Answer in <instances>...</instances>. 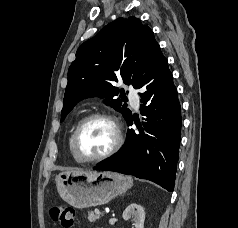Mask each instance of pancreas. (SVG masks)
<instances>
[{"label":"pancreas","instance_id":"cf45deb5","mask_svg":"<svg viewBox=\"0 0 238 228\" xmlns=\"http://www.w3.org/2000/svg\"><path fill=\"white\" fill-rule=\"evenodd\" d=\"M99 218H100V216L98 214H95L93 211H90L88 213V220L91 223L96 222Z\"/></svg>","mask_w":238,"mask_h":228}]
</instances>
